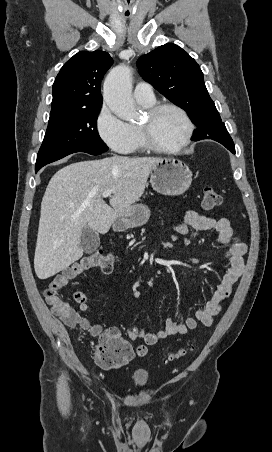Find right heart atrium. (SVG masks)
Masks as SVG:
<instances>
[{"instance_id":"1","label":"right heart atrium","mask_w":272,"mask_h":452,"mask_svg":"<svg viewBox=\"0 0 272 452\" xmlns=\"http://www.w3.org/2000/svg\"><path fill=\"white\" fill-rule=\"evenodd\" d=\"M95 129L110 149L119 153L127 152L132 137L129 124L116 117L106 104L101 106L96 115Z\"/></svg>"}]
</instances>
